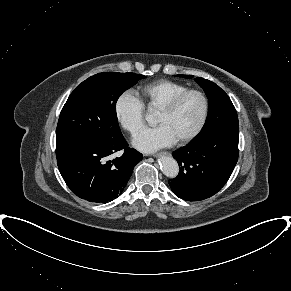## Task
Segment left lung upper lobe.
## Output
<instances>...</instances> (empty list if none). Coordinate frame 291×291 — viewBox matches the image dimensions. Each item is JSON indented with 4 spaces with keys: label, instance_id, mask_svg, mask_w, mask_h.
<instances>
[{
    "label": "left lung upper lobe",
    "instance_id": "obj_1",
    "mask_svg": "<svg viewBox=\"0 0 291 291\" xmlns=\"http://www.w3.org/2000/svg\"><path fill=\"white\" fill-rule=\"evenodd\" d=\"M177 76L193 77L192 75ZM195 81L203 88L209 99V113L201 132L191 141L200 140L220 130H239L236 109L225 91L207 79L199 77L195 78Z\"/></svg>",
    "mask_w": 291,
    "mask_h": 291
}]
</instances>
